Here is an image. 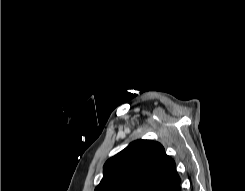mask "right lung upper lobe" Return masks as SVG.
Listing matches in <instances>:
<instances>
[{"mask_svg": "<svg viewBox=\"0 0 245 191\" xmlns=\"http://www.w3.org/2000/svg\"><path fill=\"white\" fill-rule=\"evenodd\" d=\"M95 191H173L180 184L174 160L163 146L136 140L104 165Z\"/></svg>", "mask_w": 245, "mask_h": 191, "instance_id": "1", "label": "right lung upper lobe"}]
</instances>
